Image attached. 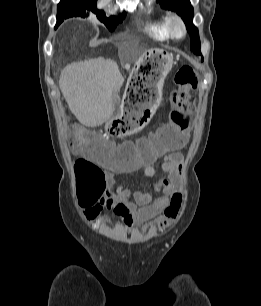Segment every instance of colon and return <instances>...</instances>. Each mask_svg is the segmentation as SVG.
Here are the masks:
<instances>
[{"label": "colon", "instance_id": "obj_1", "mask_svg": "<svg viewBox=\"0 0 261 306\" xmlns=\"http://www.w3.org/2000/svg\"><path fill=\"white\" fill-rule=\"evenodd\" d=\"M176 89L171 94V120L162 125L158 132L137 146L126 144L119 153H114L109 145L100 144L97 139L87 137L81 127L74 129L71 138L73 150L82 157L74 163L79 191L84 199L100 198L105 193V174L102 169L109 166L133 167L139 163H151L158 155L178 148L192 122L194 99L191 92L198 84L196 70L189 65L182 66L174 76ZM126 127L113 124L109 131L98 134V138L110 140L123 135Z\"/></svg>", "mask_w": 261, "mask_h": 306}]
</instances>
